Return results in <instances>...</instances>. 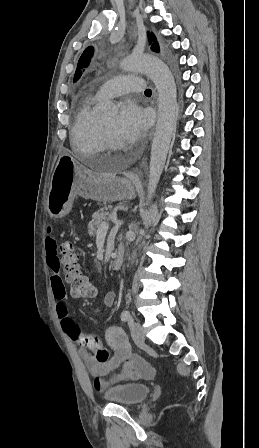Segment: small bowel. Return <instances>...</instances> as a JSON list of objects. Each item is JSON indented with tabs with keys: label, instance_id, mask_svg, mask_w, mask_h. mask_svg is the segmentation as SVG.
<instances>
[{
	"label": "small bowel",
	"instance_id": "obj_1",
	"mask_svg": "<svg viewBox=\"0 0 259 448\" xmlns=\"http://www.w3.org/2000/svg\"><path fill=\"white\" fill-rule=\"evenodd\" d=\"M45 252L46 264L53 272L51 286L57 302L56 313L61 327L72 340L80 343L83 335L75 321L70 317L65 286L58 274L60 263L57 255V241L54 237L48 236L46 238ZM115 301L116 294L114 292H109L104 297V303L108 307H112ZM105 337L112 351V356L106 363L97 362L94 355L83 346L78 351L90 374L95 378L94 387L96 390L102 391L110 384L121 381L149 379L154 376V367L142 357L131 353L126 336L121 329L110 327L107 329ZM121 364L123 366L118 373L111 375L108 379L104 378Z\"/></svg>",
	"mask_w": 259,
	"mask_h": 448
}]
</instances>
